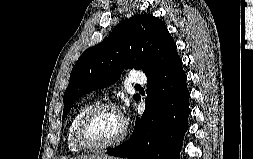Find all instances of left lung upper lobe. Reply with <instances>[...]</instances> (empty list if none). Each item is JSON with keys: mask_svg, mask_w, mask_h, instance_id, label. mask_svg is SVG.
Masks as SVG:
<instances>
[{"mask_svg": "<svg viewBox=\"0 0 253 159\" xmlns=\"http://www.w3.org/2000/svg\"><path fill=\"white\" fill-rule=\"evenodd\" d=\"M176 52L173 38L158 17L138 14L120 22L102 43L85 50L74 65L63 97V118L77 99L112 85L124 69H142L148 77Z\"/></svg>", "mask_w": 253, "mask_h": 159, "instance_id": "obj_1", "label": "left lung upper lobe"}]
</instances>
